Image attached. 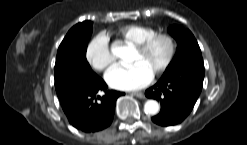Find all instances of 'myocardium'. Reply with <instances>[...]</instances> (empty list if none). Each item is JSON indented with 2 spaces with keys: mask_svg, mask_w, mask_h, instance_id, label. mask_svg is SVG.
Wrapping results in <instances>:
<instances>
[{
  "mask_svg": "<svg viewBox=\"0 0 247 145\" xmlns=\"http://www.w3.org/2000/svg\"><path fill=\"white\" fill-rule=\"evenodd\" d=\"M157 40H165L167 42L168 53L163 63L152 73L154 77H158L163 74L174 60L177 48L174 37L169 33L156 32L139 44L135 45V49L139 53H145Z\"/></svg>",
  "mask_w": 247,
  "mask_h": 145,
  "instance_id": "f54148a6",
  "label": "myocardium"
}]
</instances>
